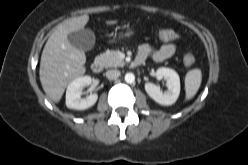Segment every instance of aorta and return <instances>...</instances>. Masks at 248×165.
I'll return each mask as SVG.
<instances>
[{"label":"aorta","mask_w":248,"mask_h":165,"mask_svg":"<svg viewBox=\"0 0 248 165\" xmlns=\"http://www.w3.org/2000/svg\"><path fill=\"white\" fill-rule=\"evenodd\" d=\"M125 81L129 84L133 83L135 81V76L133 73H127L125 75Z\"/></svg>","instance_id":"1"}]
</instances>
